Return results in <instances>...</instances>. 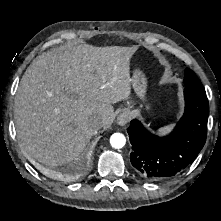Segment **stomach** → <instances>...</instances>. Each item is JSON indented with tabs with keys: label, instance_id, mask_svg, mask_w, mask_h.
<instances>
[{
	"label": "stomach",
	"instance_id": "0dacf381",
	"mask_svg": "<svg viewBox=\"0 0 221 221\" xmlns=\"http://www.w3.org/2000/svg\"><path fill=\"white\" fill-rule=\"evenodd\" d=\"M131 84L136 93L137 97L144 99L147 90V80L145 75L140 70H135L131 79ZM129 111V109H124L123 112Z\"/></svg>",
	"mask_w": 221,
	"mask_h": 221
}]
</instances>
